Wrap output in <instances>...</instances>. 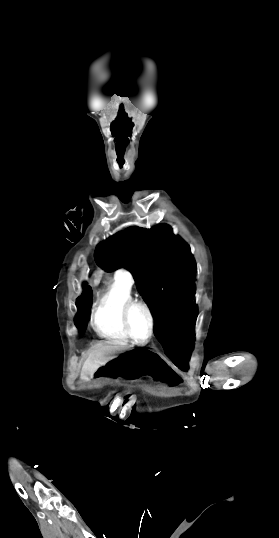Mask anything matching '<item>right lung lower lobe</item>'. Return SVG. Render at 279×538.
Here are the masks:
<instances>
[{
    "mask_svg": "<svg viewBox=\"0 0 279 538\" xmlns=\"http://www.w3.org/2000/svg\"><path fill=\"white\" fill-rule=\"evenodd\" d=\"M92 289L86 284L83 287V292L76 300L78 308V315L75 320V324L79 329H85L87 326V310L92 301Z\"/></svg>",
    "mask_w": 279,
    "mask_h": 538,
    "instance_id": "98d812e1",
    "label": "right lung lower lobe"
}]
</instances>
